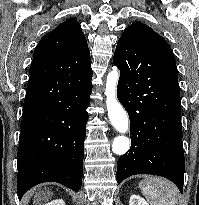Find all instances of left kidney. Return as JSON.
<instances>
[{
    "instance_id": "obj_1",
    "label": "left kidney",
    "mask_w": 199,
    "mask_h": 205,
    "mask_svg": "<svg viewBox=\"0 0 199 205\" xmlns=\"http://www.w3.org/2000/svg\"><path fill=\"white\" fill-rule=\"evenodd\" d=\"M129 205H149L144 198L139 195H132L130 197Z\"/></svg>"
}]
</instances>
